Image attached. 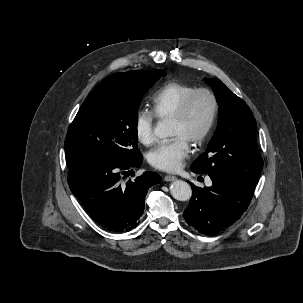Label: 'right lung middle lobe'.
I'll return each mask as SVG.
<instances>
[{"mask_svg": "<svg viewBox=\"0 0 303 303\" xmlns=\"http://www.w3.org/2000/svg\"><path fill=\"white\" fill-rule=\"evenodd\" d=\"M165 74L162 70L116 73L95 87L67 132V166L93 154L125 163L141 159L137 110L143 92Z\"/></svg>", "mask_w": 303, "mask_h": 303, "instance_id": "obj_1", "label": "right lung middle lobe"}]
</instances>
